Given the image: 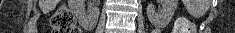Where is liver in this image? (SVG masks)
Listing matches in <instances>:
<instances>
[{
  "label": "liver",
  "mask_w": 235,
  "mask_h": 33,
  "mask_svg": "<svg viewBox=\"0 0 235 33\" xmlns=\"http://www.w3.org/2000/svg\"><path fill=\"white\" fill-rule=\"evenodd\" d=\"M57 1L54 0H39V6L43 13L47 14L56 6Z\"/></svg>",
  "instance_id": "obj_1"
}]
</instances>
